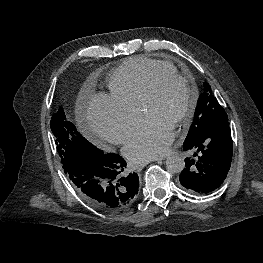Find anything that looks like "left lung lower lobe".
<instances>
[{
  "instance_id": "1",
  "label": "left lung lower lobe",
  "mask_w": 263,
  "mask_h": 263,
  "mask_svg": "<svg viewBox=\"0 0 263 263\" xmlns=\"http://www.w3.org/2000/svg\"><path fill=\"white\" fill-rule=\"evenodd\" d=\"M186 151H196L195 159L186 158V167L180 174V183L188 191L208 194L217 189L229 171L233 144L228 120H220L200 136L183 143Z\"/></svg>"
}]
</instances>
